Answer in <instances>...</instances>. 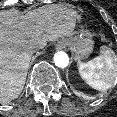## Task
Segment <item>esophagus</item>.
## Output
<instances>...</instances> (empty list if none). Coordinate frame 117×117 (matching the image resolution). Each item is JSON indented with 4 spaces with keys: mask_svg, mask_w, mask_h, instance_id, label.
I'll return each mask as SVG.
<instances>
[{
    "mask_svg": "<svg viewBox=\"0 0 117 117\" xmlns=\"http://www.w3.org/2000/svg\"><path fill=\"white\" fill-rule=\"evenodd\" d=\"M67 46V41L62 39V40H59L56 44V48L57 49H63Z\"/></svg>",
    "mask_w": 117,
    "mask_h": 117,
    "instance_id": "1",
    "label": "esophagus"
}]
</instances>
